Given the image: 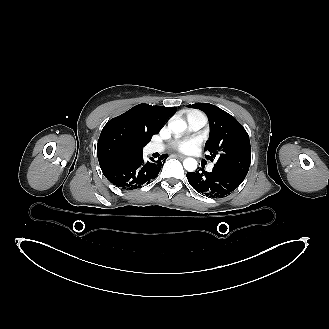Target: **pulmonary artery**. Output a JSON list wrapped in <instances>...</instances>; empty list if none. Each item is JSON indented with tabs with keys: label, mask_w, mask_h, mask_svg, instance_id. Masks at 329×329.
Here are the masks:
<instances>
[{
	"label": "pulmonary artery",
	"mask_w": 329,
	"mask_h": 329,
	"mask_svg": "<svg viewBox=\"0 0 329 329\" xmlns=\"http://www.w3.org/2000/svg\"><path fill=\"white\" fill-rule=\"evenodd\" d=\"M207 123V118L202 113H192L188 116L189 128L193 131H198L204 127ZM164 149V145L160 143L151 144L149 147L150 152H161ZM213 164H210L208 169L212 170Z\"/></svg>",
	"instance_id": "1"
}]
</instances>
